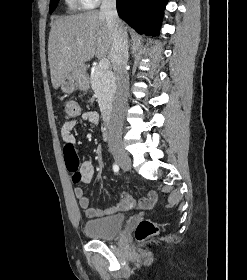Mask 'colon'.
Segmentation results:
<instances>
[{
	"instance_id": "5ec220e1",
	"label": "colon",
	"mask_w": 247,
	"mask_h": 280,
	"mask_svg": "<svg viewBox=\"0 0 247 280\" xmlns=\"http://www.w3.org/2000/svg\"><path fill=\"white\" fill-rule=\"evenodd\" d=\"M79 113V107L74 101H67L65 103V114L68 118H74ZM64 158L67 170L72 174L73 182L77 183L81 180V173L79 171L80 161L75 152L74 146L65 145ZM76 189H80L81 185L76 184ZM158 233V226L151 220H142L135 229V238L139 242H143L151 236Z\"/></svg>"
}]
</instances>
